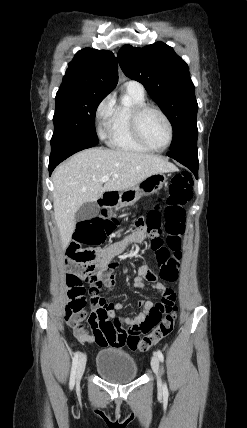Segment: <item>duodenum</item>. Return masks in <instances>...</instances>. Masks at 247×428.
<instances>
[{
	"instance_id": "duodenum-1",
	"label": "duodenum",
	"mask_w": 247,
	"mask_h": 428,
	"mask_svg": "<svg viewBox=\"0 0 247 428\" xmlns=\"http://www.w3.org/2000/svg\"><path fill=\"white\" fill-rule=\"evenodd\" d=\"M118 199V194L116 192H108L105 193L100 199H99V205L101 207H109L113 206Z\"/></svg>"
}]
</instances>
